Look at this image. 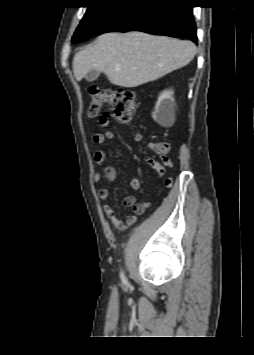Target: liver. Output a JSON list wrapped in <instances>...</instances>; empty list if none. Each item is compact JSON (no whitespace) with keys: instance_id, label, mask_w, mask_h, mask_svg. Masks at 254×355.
Wrapping results in <instances>:
<instances>
[{"instance_id":"obj_1","label":"liver","mask_w":254,"mask_h":355,"mask_svg":"<svg viewBox=\"0 0 254 355\" xmlns=\"http://www.w3.org/2000/svg\"><path fill=\"white\" fill-rule=\"evenodd\" d=\"M196 51L188 40L142 32L106 33L76 53L72 65L77 81L96 70L112 84L132 88L186 66Z\"/></svg>"}]
</instances>
